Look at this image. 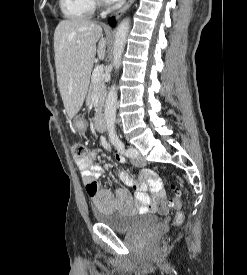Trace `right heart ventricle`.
<instances>
[{
    "label": "right heart ventricle",
    "mask_w": 247,
    "mask_h": 275,
    "mask_svg": "<svg viewBox=\"0 0 247 275\" xmlns=\"http://www.w3.org/2000/svg\"><path fill=\"white\" fill-rule=\"evenodd\" d=\"M60 10L65 18L88 19L96 9L95 0H59Z\"/></svg>",
    "instance_id": "right-heart-ventricle-1"
}]
</instances>
